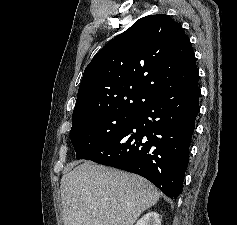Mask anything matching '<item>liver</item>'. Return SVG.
<instances>
[{"instance_id":"1","label":"liver","mask_w":237,"mask_h":225,"mask_svg":"<svg viewBox=\"0 0 237 225\" xmlns=\"http://www.w3.org/2000/svg\"><path fill=\"white\" fill-rule=\"evenodd\" d=\"M60 189L64 225H134L160 198L143 177L90 161L64 174Z\"/></svg>"}]
</instances>
